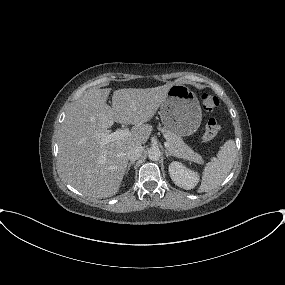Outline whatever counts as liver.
Segmentation results:
<instances>
[{
	"label": "liver",
	"instance_id": "6515ba94",
	"mask_svg": "<svg viewBox=\"0 0 285 285\" xmlns=\"http://www.w3.org/2000/svg\"><path fill=\"white\" fill-rule=\"evenodd\" d=\"M173 85L116 90L112 107L106 103L110 88L85 92L67 111L59 136L58 163L66 182L88 197L115 195L128 165V150L147 142L153 129L147 122ZM114 122L134 125L131 135L102 146L96 134Z\"/></svg>",
	"mask_w": 285,
	"mask_h": 285
}]
</instances>
